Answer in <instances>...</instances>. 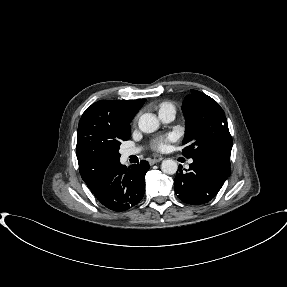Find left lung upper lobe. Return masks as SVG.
Masks as SVG:
<instances>
[{"label": "left lung upper lobe", "mask_w": 287, "mask_h": 287, "mask_svg": "<svg viewBox=\"0 0 287 287\" xmlns=\"http://www.w3.org/2000/svg\"><path fill=\"white\" fill-rule=\"evenodd\" d=\"M186 131L182 154L193 158L204 154H223L230 157L232 137L225 113L219 104L197 90H191L183 101Z\"/></svg>", "instance_id": "left-lung-upper-lobe-1"}]
</instances>
